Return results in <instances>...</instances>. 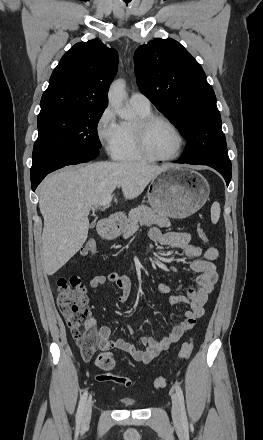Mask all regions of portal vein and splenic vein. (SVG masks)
Masks as SVG:
<instances>
[{"label": "portal vein and splenic vein", "mask_w": 263, "mask_h": 440, "mask_svg": "<svg viewBox=\"0 0 263 440\" xmlns=\"http://www.w3.org/2000/svg\"><path fill=\"white\" fill-rule=\"evenodd\" d=\"M112 198H113L112 195L107 196L97 206L108 207L110 205L111 201H112Z\"/></svg>", "instance_id": "obj_1"}]
</instances>
